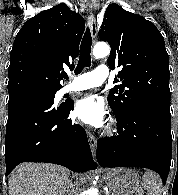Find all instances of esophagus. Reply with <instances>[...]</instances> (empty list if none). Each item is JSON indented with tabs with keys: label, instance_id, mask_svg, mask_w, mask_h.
I'll return each mask as SVG.
<instances>
[{
	"label": "esophagus",
	"instance_id": "esophagus-1",
	"mask_svg": "<svg viewBox=\"0 0 178 195\" xmlns=\"http://www.w3.org/2000/svg\"><path fill=\"white\" fill-rule=\"evenodd\" d=\"M87 14H88V18L90 21L91 36L93 39H95L96 35H97V29H96V18H95L93 3L87 4ZM87 136H88V140H89V144H90V148H91L93 157L95 158L96 148H97V140H96L95 136L90 131H87Z\"/></svg>",
	"mask_w": 178,
	"mask_h": 195
}]
</instances>
